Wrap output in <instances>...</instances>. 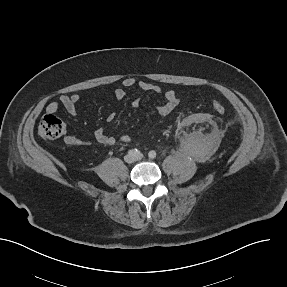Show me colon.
<instances>
[{
    "mask_svg": "<svg viewBox=\"0 0 287 287\" xmlns=\"http://www.w3.org/2000/svg\"><path fill=\"white\" fill-rule=\"evenodd\" d=\"M213 111L218 114H224L226 111L225 106L220 102L212 103ZM38 132L41 137L49 140L60 138L65 132V126L61 119L53 114L45 115L39 125Z\"/></svg>",
    "mask_w": 287,
    "mask_h": 287,
    "instance_id": "5ec220e1",
    "label": "colon"
}]
</instances>
